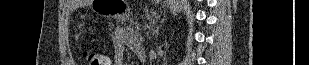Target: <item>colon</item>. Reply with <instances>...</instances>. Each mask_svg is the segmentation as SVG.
<instances>
[{
  "label": "colon",
  "instance_id": "5ec220e1",
  "mask_svg": "<svg viewBox=\"0 0 309 65\" xmlns=\"http://www.w3.org/2000/svg\"><path fill=\"white\" fill-rule=\"evenodd\" d=\"M83 57L87 65H104L106 64L105 56L95 49H86Z\"/></svg>",
  "mask_w": 309,
  "mask_h": 65
}]
</instances>
